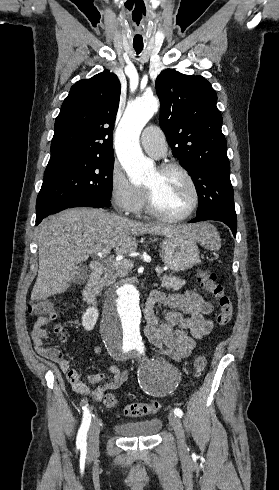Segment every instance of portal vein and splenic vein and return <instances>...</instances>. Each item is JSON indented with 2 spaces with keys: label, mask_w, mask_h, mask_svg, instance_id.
<instances>
[{
  "label": "portal vein and splenic vein",
  "mask_w": 279,
  "mask_h": 490,
  "mask_svg": "<svg viewBox=\"0 0 279 490\" xmlns=\"http://www.w3.org/2000/svg\"><path fill=\"white\" fill-rule=\"evenodd\" d=\"M97 256H102L101 252H99V254H97ZM121 260H123V256H121ZM107 264H109V266H119V264H121V262H118L117 258L116 260H106ZM123 264H128V260H124ZM156 272L157 274H161V272H163V270H161V268H156Z\"/></svg>",
  "instance_id": "obj_1"
}]
</instances>
